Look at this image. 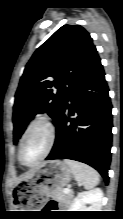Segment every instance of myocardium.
<instances>
[{"mask_svg":"<svg viewBox=\"0 0 123 219\" xmlns=\"http://www.w3.org/2000/svg\"><path fill=\"white\" fill-rule=\"evenodd\" d=\"M37 127H42L46 130L47 132V144H46V148L44 150V153L42 154V156L34 163H26L24 162L23 158H22V147H23V143L25 141V139L27 138V136ZM56 140V128L54 123L46 116H38L36 118H34L26 127L24 133L21 136L20 142H19V148H18V158L19 161L21 162V164L28 166V167H32L35 166L37 164H39L40 162H42L51 152L54 143Z\"/></svg>","mask_w":123,"mask_h":219,"instance_id":"f54148a6","label":"myocardium"}]
</instances>
